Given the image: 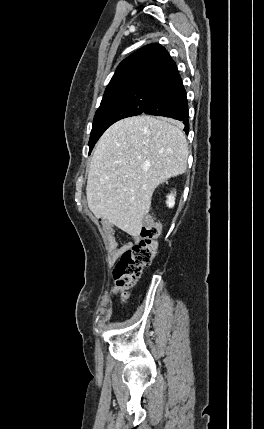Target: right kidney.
Masks as SVG:
<instances>
[{
	"label": "right kidney",
	"instance_id": "obj_1",
	"mask_svg": "<svg viewBox=\"0 0 264 429\" xmlns=\"http://www.w3.org/2000/svg\"><path fill=\"white\" fill-rule=\"evenodd\" d=\"M175 195L176 192H171L169 195H167L166 204L169 208H173V206L175 205Z\"/></svg>",
	"mask_w": 264,
	"mask_h": 429
}]
</instances>
